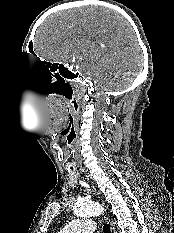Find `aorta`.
Segmentation results:
<instances>
[{
    "instance_id": "aorta-1",
    "label": "aorta",
    "mask_w": 174,
    "mask_h": 233,
    "mask_svg": "<svg viewBox=\"0 0 174 233\" xmlns=\"http://www.w3.org/2000/svg\"><path fill=\"white\" fill-rule=\"evenodd\" d=\"M103 213V207L97 203L78 202L74 207V214L78 217L99 216Z\"/></svg>"
}]
</instances>
